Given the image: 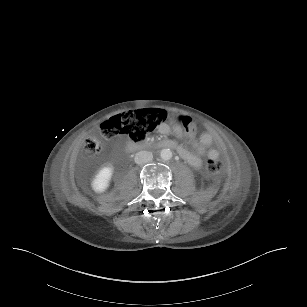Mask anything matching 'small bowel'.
<instances>
[{
  "label": "small bowel",
  "mask_w": 307,
  "mask_h": 307,
  "mask_svg": "<svg viewBox=\"0 0 307 307\" xmlns=\"http://www.w3.org/2000/svg\"><path fill=\"white\" fill-rule=\"evenodd\" d=\"M160 132L163 134H169L172 132L177 138H181L183 136L182 129L178 125L170 127L169 125L164 124L160 127ZM171 142L174 143V149L178 151L179 155L195 168L201 166V154L207 153L209 158L219 157L220 154L217 149L211 147L214 142V138L207 132L201 134L198 140L194 138L189 140V144L193 150L178 145L177 141L175 140H172Z\"/></svg>",
  "instance_id": "obj_1"
}]
</instances>
